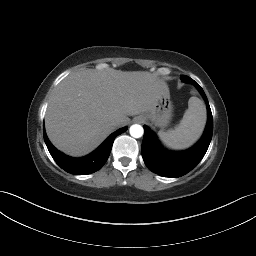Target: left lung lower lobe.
Wrapping results in <instances>:
<instances>
[{"mask_svg":"<svg viewBox=\"0 0 256 256\" xmlns=\"http://www.w3.org/2000/svg\"><path fill=\"white\" fill-rule=\"evenodd\" d=\"M187 82L196 86L207 105L208 121L198 143L185 151H168L161 146L153 131L148 126H143L144 138L141 153L144 163L149 170L164 177H180L191 171L204 157L212 139L213 117L207 97L200 85L193 79L188 77Z\"/></svg>","mask_w":256,"mask_h":256,"instance_id":"0a47b994","label":"left lung lower lobe"}]
</instances>
